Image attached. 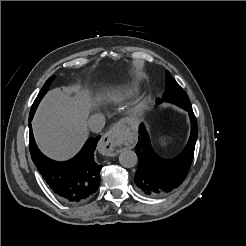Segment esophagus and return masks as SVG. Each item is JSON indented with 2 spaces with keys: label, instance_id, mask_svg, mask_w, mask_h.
<instances>
[{
  "label": "esophagus",
  "instance_id": "1",
  "mask_svg": "<svg viewBox=\"0 0 246 246\" xmlns=\"http://www.w3.org/2000/svg\"><path fill=\"white\" fill-rule=\"evenodd\" d=\"M122 139V128L119 125H115L102 136L98 145L99 152L106 156L117 155L120 152L117 147Z\"/></svg>",
  "mask_w": 246,
  "mask_h": 246
}]
</instances>
